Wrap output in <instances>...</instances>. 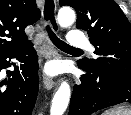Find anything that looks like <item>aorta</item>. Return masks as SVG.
Segmentation results:
<instances>
[{"instance_id":"aorta-1","label":"aorta","mask_w":131,"mask_h":115,"mask_svg":"<svg viewBox=\"0 0 131 115\" xmlns=\"http://www.w3.org/2000/svg\"><path fill=\"white\" fill-rule=\"evenodd\" d=\"M57 19L60 26L68 27L74 23L75 13L71 8L64 7L59 10ZM70 94L69 84L66 81L62 82L52 99L50 115H63L67 109Z\"/></svg>"}]
</instances>
